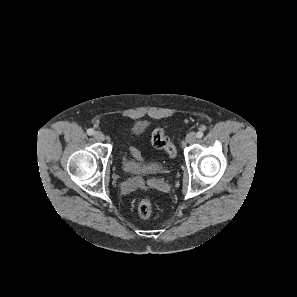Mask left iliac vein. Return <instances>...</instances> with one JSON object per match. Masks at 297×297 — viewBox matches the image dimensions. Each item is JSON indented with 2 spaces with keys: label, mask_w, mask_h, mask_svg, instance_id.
<instances>
[{
  "label": "left iliac vein",
  "mask_w": 297,
  "mask_h": 297,
  "mask_svg": "<svg viewBox=\"0 0 297 297\" xmlns=\"http://www.w3.org/2000/svg\"><path fill=\"white\" fill-rule=\"evenodd\" d=\"M196 141V134L194 132H190L186 135V142L187 143H194Z\"/></svg>",
  "instance_id": "4c4485c4"
}]
</instances>
